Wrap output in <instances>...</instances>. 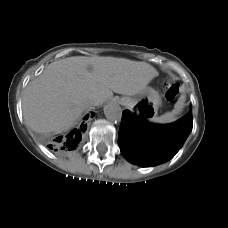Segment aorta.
I'll return each instance as SVG.
<instances>
[{
    "label": "aorta",
    "mask_w": 228,
    "mask_h": 228,
    "mask_svg": "<svg viewBox=\"0 0 228 228\" xmlns=\"http://www.w3.org/2000/svg\"><path fill=\"white\" fill-rule=\"evenodd\" d=\"M105 117L110 121L119 122L122 119V109L116 102H109L104 106Z\"/></svg>",
    "instance_id": "762f6f07"
}]
</instances>
